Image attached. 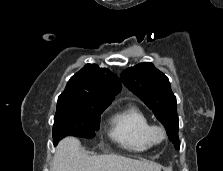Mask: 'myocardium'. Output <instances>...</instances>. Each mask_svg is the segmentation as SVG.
<instances>
[{
    "instance_id": "f54148a6",
    "label": "myocardium",
    "mask_w": 223,
    "mask_h": 171,
    "mask_svg": "<svg viewBox=\"0 0 223 171\" xmlns=\"http://www.w3.org/2000/svg\"><path fill=\"white\" fill-rule=\"evenodd\" d=\"M147 135L152 144H160L166 139V131L164 127L157 124H150Z\"/></svg>"
}]
</instances>
